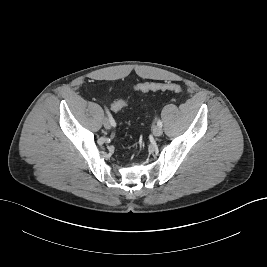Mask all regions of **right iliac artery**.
Here are the masks:
<instances>
[{"mask_svg":"<svg viewBox=\"0 0 267 267\" xmlns=\"http://www.w3.org/2000/svg\"><path fill=\"white\" fill-rule=\"evenodd\" d=\"M106 113H107V115H108V118H109L110 124H111L112 126H115V125H116V123H115V121H114L113 117L111 116V113L109 112V110H108L107 108H106Z\"/></svg>","mask_w":267,"mask_h":267,"instance_id":"right-iliac-artery-1","label":"right iliac artery"}]
</instances>
